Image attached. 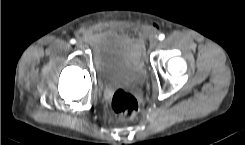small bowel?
Wrapping results in <instances>:
<instances>
[{
	"instance_id": "1",
	"label": "small bowel",
	"mask_w": 245,
	"mask_h": 145,
	"mask_svg": "<svg viewBox=\"0 0 245 145\" xmlns=\"http://www.w3.org/2000/svg\"><path fill=\"white\" fill-rule=\"evenodd\" d=\"M102 36H103V32H101V31H93V32L89 33L90 40L95 42V43L99 42L101 40Z\"/></svg>"
}]
</instances>
